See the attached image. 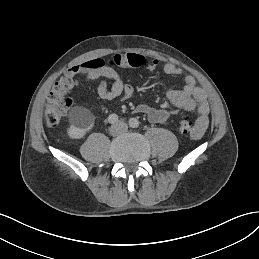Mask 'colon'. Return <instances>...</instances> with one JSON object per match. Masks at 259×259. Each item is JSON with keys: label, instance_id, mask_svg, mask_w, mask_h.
Wrapping results in <instances>:
<instances>
[{"label": "colon", "instance_id": "5ec220e1", "mask_svg": "<svg viewBox=\"0 0 259 259\" xmlns=\"http://www.w3.org/2000/svg\"><path fill=\"white\" fill-rule=\"evenodd\" d=\"M76 85L74 76L66 74L51 88L45 105V119L49 126H57L72 107L69 94ZM178 127L182 134H191L194 124L189 117L183 116L179 119Z\"/></svg>", "mask_w": 259, "mask_h": 259}]
</instances>
